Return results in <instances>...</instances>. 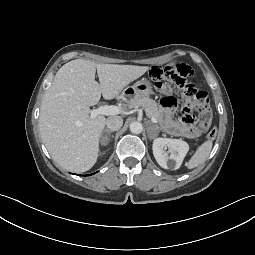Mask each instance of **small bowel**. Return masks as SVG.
<instances>
[{
  "label": "small bowel",
  "instance_id": "1",
  "mask_svg": "<svg viewBox=\"0 0 255 255\" xmlns=\"http://www.w3.org/2000/svg\"><path fill=\"white\" fill-rule=\"evenodd\" d=\"M175 100L167 96L161 100L162 116L166 130L175 135L186 138H196L200 130L195 125V119L191 114H184L181 119H173V108Z\"/></svg>",
  "mask_w": 255,
  "mask_h": 255
}]
</instances>
